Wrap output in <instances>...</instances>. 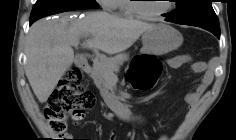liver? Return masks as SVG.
Instances as JSON below:
<instances>
[{
	"mask_svg": "<svg viewBox=\"0 0 236 140\" xmlns=\"http://www.w3.org/2000/svg\"><path fill=\"white\" fill-rule=\"evenodd\" d=\"M154 26L106 12L87 13L72 24H69L67 15L36 21L26 38L25 66L34 94L40 103L48 100L58 81L72 65V46L78 44L81 37H90L82 47L112 55L130 48Z\"/></svg>",
	"mask_w": 236,
	"mask_h": 140,
	"instance_id": "liver-1",
	"label": "liver"
}]
</instances>
